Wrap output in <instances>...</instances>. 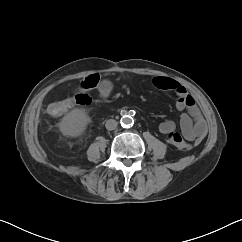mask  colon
Returning <instances> with one entry per match:
<instances>
[{
  "label": "colon",
  "instance_id": "colon-1",
  "mask_svg": "<svg viewBox=\"0 0 242 242\" xmlns=\"http://www.w3.org/2000/svg\"><path fill=\"white\" fill-rule=\"evenodd\" d=\"M98 79L91 78L87 82H85L80 88L78 93L75 95V97L72 99L74 104L80 105V106H86L89 105L91 102V98L89 95V91L94 89L97 86ZM100 95L103 97L108 96L109 90L107 88H99ZM71 98H66L63 100H59L56 102H53L49 105L48 111L52 115H62L67 111L68 104Z\"/></svg>",
  "mask_w": 242,
  "mask_h": 242
}]
</instances>
